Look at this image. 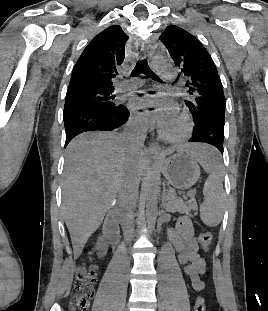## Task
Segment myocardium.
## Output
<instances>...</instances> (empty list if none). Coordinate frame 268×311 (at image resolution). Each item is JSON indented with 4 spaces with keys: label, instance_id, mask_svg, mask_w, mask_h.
Wrapping results in <instances>:
<instances>
[{
    "label": "myocardium",
    "instance_id": "f54148a6",
    "mask_svg": "<svg viewBox=\"0 0 268 311\" xmlns=\"http://www.w3.org/2000/svg\"><path fill=\"white\" fill-rule=\"evenodd\" d=\"M177 116L182 122V130L179 134L171 135L161 125L158 126V135L169 143L180 144L185 142L191 136L193 130V123L187 112H178Z\"/></svg>",
    "mask_w": 268,
    "mask_h": 311
}]
</instances>
